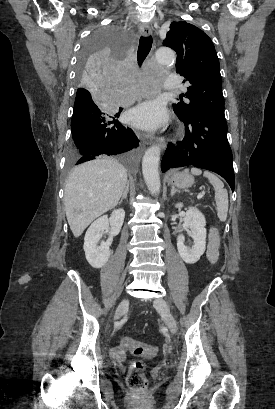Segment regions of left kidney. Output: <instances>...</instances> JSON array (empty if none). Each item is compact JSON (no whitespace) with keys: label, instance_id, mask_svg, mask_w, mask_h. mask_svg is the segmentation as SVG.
Segmentation results:
<instances>
[{"label":"left kidney","instance_id":"1","mask_svg":"<svg viewBox=\"0 0 275 409\" xmlns=\"http://www.w3.org/2000/svg\"><path fill=\"white\" fill-rule=\"evenodd\" d=\"M177 209L183 207L182 202H178L175 205ZM185 225H189L190 231H188L189 237H192L194 243L190 247H185V239L180 235L177 239V249L178 253L188 265H194L199 261L201 255L205 253L206 249V235L207 231L205 229L206 221L204 215L195 209V207H189V211H186V217L183 219Z\"/></svg>","mask_w":275,"mask_h":409}]
</instances>
